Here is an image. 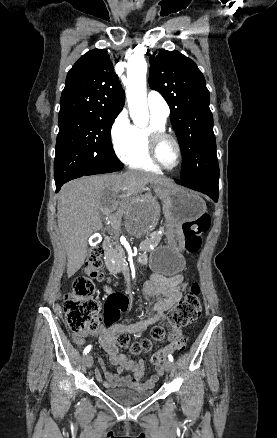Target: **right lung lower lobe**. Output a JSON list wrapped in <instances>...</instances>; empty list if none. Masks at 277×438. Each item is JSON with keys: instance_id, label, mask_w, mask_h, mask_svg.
Instances as JSON below:
<instances>
[{"instance_id": "right-lung-lower-lobe-1", "label": "right lung lower lobe", "mask_w": 277, "mask_h": 438, "mask_svg": "<svg viewBox=\"0 0 277 438\" xmlns=\"http://www.w3.org/2000/svg\"><path fill=\"white\" fill-rule=\"evenodd\" d=\"M112 172H114V171H112ZM102 173H109V172H94V173H90V174H81V175L73 176V177H71V178H69V179H67V180H64V181L55 182V183H56V192H58V191L60 190L61 186H62L64 183H66V182H68V181H70V180H72V179H75V178H78V177H82V176H84V175H94V174H102Z\"/></svg>"}]
</instances>
